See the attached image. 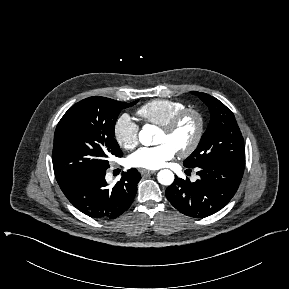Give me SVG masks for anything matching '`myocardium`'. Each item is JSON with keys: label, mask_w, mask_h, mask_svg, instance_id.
Returning <instances> with one entry per match:
<instances>
[{"label": "myocardium", "mask_w": 289, "mask_h": 289, "mask_svg": "<svg viewBox=\"0 0 289 289\" xmlns=\"http://www.w3.org/2000/svg\"><path fill=\"white\" fill-rule=\"evenodd\" d=\"M188 116H193L197 121V129L192 141L185 148L178 150L181 157L191 155L199 146L205 131V118L203 114L195 108H184L175 114L166 124L161 126V130L166 134H172Z\"/></svg>", "instance_id": "1"}]
</instances>
